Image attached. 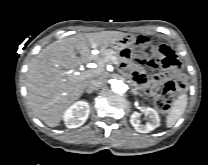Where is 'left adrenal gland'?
I'll list each match as a JSON object with an SVG mask.
<instances>
[{
  "label": "left adrenal gland",
  "mask_w": 208,
  "mask_h": 165,
  "mask_svg": "<svg viewBox=\"0 0 208 165\" xmlns=\"http://www.w3.org/2000/svg\"><path fill=\"white\" fill-rule=\"evenodd\" d=\"M131 91H132V93L135 94V95H138V94H139L135 89H132Z\"/></svg>",
  "instance_id": "a2214340"
}]
</instances>
